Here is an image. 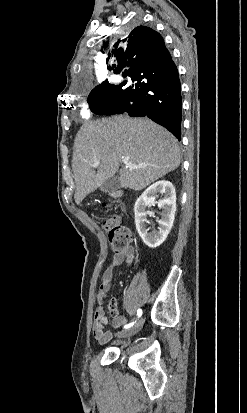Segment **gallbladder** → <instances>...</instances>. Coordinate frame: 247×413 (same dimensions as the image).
Masks as SVG:
<instances>
[{"mask_svg":"<svg viewBox=\"0 0 247 413\" xmlns=\"http://www.w3.org/2000/svg\"><path fill=\"white\" fill-rule=\"evenodd\" d=\"M119 184V176H109V178H105L104 182H102L100 190H104V192H112V190L118 188Z\"/></svg>","mask_w":247,"mask_h":413,"instance_id":"1","label":"gallbladder"}]
</instances>
